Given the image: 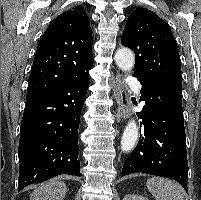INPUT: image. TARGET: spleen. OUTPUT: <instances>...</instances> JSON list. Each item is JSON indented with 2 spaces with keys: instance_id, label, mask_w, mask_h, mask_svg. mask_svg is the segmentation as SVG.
<instances>
[{
  "instance_id": "3e777b00",
  "label": "spleen",
  "mask_w": 201,
  "mask_h": 200,
  "mask_svg": "<svg viewBox=\"0 0 201 200\" xmlns=\"http://www.w3.org/2000/svg\"><path fill=\"white\" fill-rule=\"evenodd\" d=\"M147 188L156 200H184L181 187L167 179L152 177L147 181Z\"/></svg>"
}]
</instances>
